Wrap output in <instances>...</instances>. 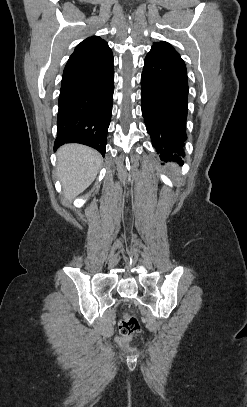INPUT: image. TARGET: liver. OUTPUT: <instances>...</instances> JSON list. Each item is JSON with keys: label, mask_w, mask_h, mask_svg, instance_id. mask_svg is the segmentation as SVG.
I'll list each match as a JSON object with an SVG mask.
<instances>
[{"label": "liver", "mask_w": 247, "mask_h": 407, "mask_svg": "<svg viewBox=\"0 0 247 407\" xmlns=\"http://www.w3.org/2000/svg\"><path fill=\"white\" fill-rule=\"evenodd\" d=\"M57 157V174L63 195L67 200H72L95 180L102 157L96 150L80 144L62 146Z\"/></svg>", "instance_id": "6515ba94"}]
</instances>
